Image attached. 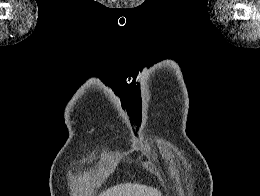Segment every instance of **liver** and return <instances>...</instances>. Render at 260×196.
<instances>
[{
    "label": "liver",
    "mask_w": 260,
    "mask_h": 196,
    "mask_svg": "<svg viewBox=\"0 0 260 196\" xmlns=\"http://www.w3.org/2000/svg\"><path fill=\"white\" fill-rule=\"evenodd\" d=\"M99 196H162L157 188L142 186V184H117L113 188H108L106 192H101Z\"/></svg>",
    "instance_id": "liver-1"
}]
</instances>
